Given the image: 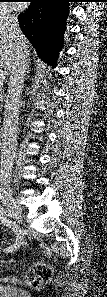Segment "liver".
I'll return each mask as SVG.
<instances>
[{"instance_id": "liver-1", "label": "liver", "mask_w": 107, "mask_h": 297, "mask_svg": "<svg viewBox=\"0 0 107 297\" xmlns=\"http://www.w3.org/2000/svg\"><path fill=\"white\" fill-rule=\"evenodd\" d=\"M22 42L29 54L31 47L27 38L21 33ZM17 43L12 40L5 32H0V69L1 74H9L14 65Z\"/></svg>"}]
</instances>
